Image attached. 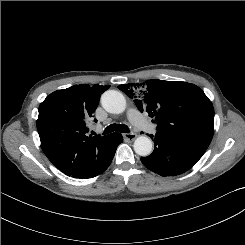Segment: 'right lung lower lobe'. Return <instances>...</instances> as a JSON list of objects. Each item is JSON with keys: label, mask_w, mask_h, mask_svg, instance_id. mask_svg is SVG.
<instances>
[{"label": "right lung lower lobe", "mask_w": 245, "mask_h": 245, "mask_svg": "<svg viewBox=\"0 0 245 245\" xmlns=\"http://www.w3.org/2000/svg\"><path fill=\"white\" fill-rule=\"evenodd\" d=\"M123 141V136L119 133H113L110 141H109V145L107 146L106 151L104 152L100 162L97 164V166L91 170L86 176L84 177H80V179H85V178H92L95 177L99 174H101L103 171H105L108 166L110 165L117 146Z\"/></svg>", "instance_id": "1"}]
</instances>
